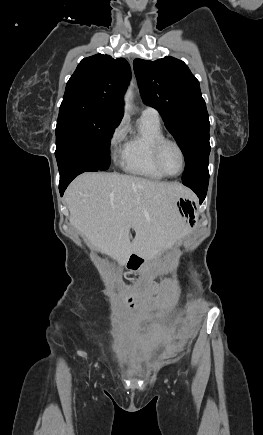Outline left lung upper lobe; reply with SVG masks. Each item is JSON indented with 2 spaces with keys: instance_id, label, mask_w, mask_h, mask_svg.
Here are the masks:
<instances>
[{
  "instance_id": "obj_1",
  "label": "left lung upper lobe",
  "mask_w": 263,
  "mask_h": 435,
  "mask_svg": "<svg viewBox=\"0 0 263 435\" xmlns=\"http://www.w3.org/2000/svg\"><path fill=\"white\" fill-rule=\"evenodd\" d=\"M133 66L144 103L158 110L183 152V179L208 169L210 123L198 80L173 57L135 59Z\"/></svg>"
}]
</instances>
